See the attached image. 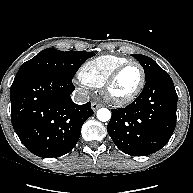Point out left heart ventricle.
I'll return each instance as SVG.
<instances>
[{"label":"left heart ventricle","mask_w":193,"mask_h":193,"mask_svg":"<svg viewBox=\"0 0 193 193\" xmlns=\"http://www.w3.org/2000/svg\"><path fill=\"white\" fill-rule=\"evenodd\" d=\"M140 71L136 66H129L121 72L111 88V94L115 97L130 95L140 82Z\"/></svg>","instance_id":"1"}]
</instances>
